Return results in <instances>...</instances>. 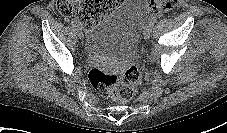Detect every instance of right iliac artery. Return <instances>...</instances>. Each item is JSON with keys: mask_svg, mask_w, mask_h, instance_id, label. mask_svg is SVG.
<instances>
[{"mask_svg": "<svg viewBox=\"0 0 227 133\" xmlns=\"http://www.w3.org/2000/svg\"><path fill=\"white\" fill-rule=\"evenodd\" d=\"M71 24H72V26H73L74 28H79V25H78L77 21L72 20Z\"/></svg>", "mask_w": 227, "mask_h": 133, "instance_id": "obj_1", "label": "right iliac artery"}]
</instances>
